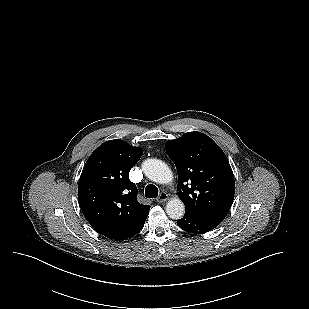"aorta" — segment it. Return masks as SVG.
I'll return each mask as SVG.
<instances>
[{
    "label": "aorta",
    "mask_w": 309,
    "mask_h": 309,
    "mask_svg": "<svg viewBox=\"0 0 309 309\" xmlns=\"http://www.w3.org/2000/svg\"><path fill=\"white\" fill-rule=\"evenodd\" d=\"M142 170L147 178L159 184H167L173 179L170 168L158 159L145 160L142 164ZM166 213L172 219H181L185 214V206L182 200L179 198L169 200L166 204Z\"/></svg>",
    "instance_id": "obj_1"
}]
</instances>
